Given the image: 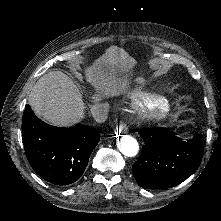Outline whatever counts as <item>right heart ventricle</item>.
I'll list each match as a JSON object with an SVG mask.
<instances>
[{
  "label": "right heart ventricle",
  "mask_w": 221,
  "mask_h": 221,
  "mask_svg": "<svg viewBox=\"0 0 221 221\" xmlns=\"http://www.w3.org/2000/svg\"><path fill=\"white\" fill-rule=\"evenodd\" d=\"M133 100L137 104L141 103L142 106L145 108H148V107L156 108L158 106L161 108H164V107L168 108L172 104V100L168 96H163L159 99L156 97L148 98L147 94L144 92L135 93L133 96Z\"/></svg>",
  "instance_id": "obj_1"
}]
</instances>
